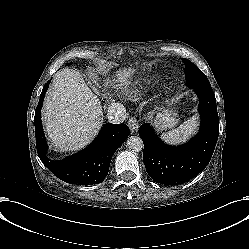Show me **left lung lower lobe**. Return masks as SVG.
Instances as JSON below:
<instances>
[{
  "label": "left lung lower lobe",
  "instance_id": "0a47b994",
  "mask_svg": "<svg viewBox=\"0 0 249 249\" xmlns=\"http://www.w3.org/2000/svg\"><path fill=\"white\" fill-rule=\"evenodd\" d=\"M199 97L201 128L187 144L173 147L164 144L145 123L139 135L144 143L143 161L148 175L167 185L184 183L198 175L209 163L219 135L216 99L211 87L193 86Z\"/></svg>",
  "mask_w": 249,
  "mask_h": 249
}]
</instances>
